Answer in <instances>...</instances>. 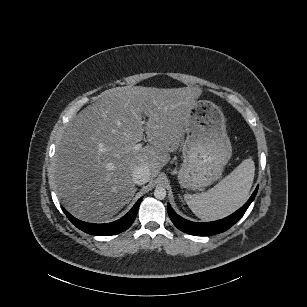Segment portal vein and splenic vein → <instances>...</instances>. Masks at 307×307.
Wrapping results in <instances>:
<instances>
[{"mask_svg": "<svg viewBox=\"0 0 307 307\" xmlns=\"http://www.w3.org/2000/svg\"><path fill=\"white\" fill-rule=\"evenodd\" d=\"M144 122V121H143ZM142 148V144L138 143L134 146V150H140Z\"/></svg>", "mask_w": 307, "mask_h": 307, "instance_id": "obj_1", "label": "portal vein and splenic vein"}]
</instances>
